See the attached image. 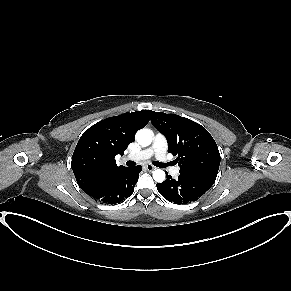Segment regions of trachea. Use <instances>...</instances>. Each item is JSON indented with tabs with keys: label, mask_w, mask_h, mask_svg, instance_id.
Returning a JSON list of instances; mask_svg holds the SVG:
<instances>
[{
	"label": "trachea",
	"mask_w": 291,
	"mask_h": 291,
	"mask_svg": "<svg viewBox=\"0 0 291 291\" xmlns=\"http://www.w3.org/2000/svg\"><path fill=\"white\" fill-rule=\"evenodd\" d=\"M126 165L132 167V166H135L136 163L134 161H127L126 162ZM153 165H155L157 167H160V168H164L165 167L164 164H162L160 162H157V161H154L153 162Z\"/></svg>",
	"instance_id": "3493384b"
}]
</instances>
